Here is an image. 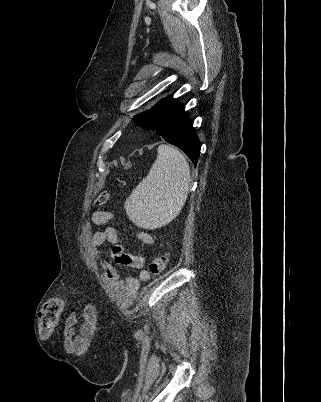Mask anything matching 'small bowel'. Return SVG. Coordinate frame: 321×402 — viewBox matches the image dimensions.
Returning a JSON list of instances; mask_svg holds the SVG:
<instances>
[{
  "instance_id": "1",
  "label": "small bowel",
  "mask_w": 321,
  "mask_h": 402,
  "mask_svg": "<svg viewBox=\"0 0 321 402\" xmlns=\"http://www.w3.org/2000/svg\"><path fill=\"white\" fill-rule=\"evenodd\" d=\"M112 221L111 213L104 210L94 211L91 215V222L95 226H106L104 230L96 232L93 236V246L100 250L104 245L111 244L110 258L116 263L134 268L138 271L137 276L122 278L117 268L109 261L102 260L103 271L108 278L118 301L125 307L130 306L136 299L141 283L147 282L150 275L146 269L147 259L140 254L125 252L120 244L119 233L116 228L109 226ZM138 239L146 244L154 243L153 237L146 231L137 233ZM95 305L93 302H84L82 308L77 310L81 315L82 321L78 327L79 317L77 315H67L64 321L66 329L65 344L72 352L74 358H81L87 351L92 337V329L97 328ZM78 327V328H77ZM80 338H75L70 329H76Z\"/></svg>"
}]
</instances>
